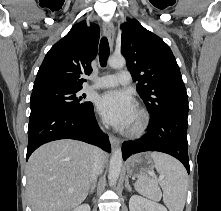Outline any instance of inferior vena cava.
I'll list each match as a JSON object with an SVG mask.
<instances>
[{
    "label": "inferior vena cava",
    "instance_id": "1",
    "mask_svg": "<svg viewBox=\"0 0 221 211\" xmlns=\"http://www.w3.org/2000/svg\"><path fill=\"white\" fill-rule=\"evenodd\" d=\"M103 154V151L97 147L94 148V155H95V161L94 166L92 170V179L93 183L96 181L99 174L103 171V165L101 163V156Z\"/></svg>",
    "mask_w": 221,
    "mask_h": 211
}]
</instances>
